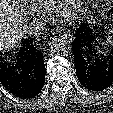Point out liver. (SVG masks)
I'll return each mask as SVG.
<instances>
[{
	"label": "liver",
	"mask_w": 113,
	"mask_h": 113,
	"mask_svg": "<svg viewBox=\"0 0 113 113\" xmlns=\"http://www.w3.org/2000/svg\"><path fill=\"white\" fill-rule=\"evenodd\" d=\"M23 14L19 0H0V51L17 46L25 35Z\"/></svg>",
	"instance_id": "liver-1"
}]
</instances>
